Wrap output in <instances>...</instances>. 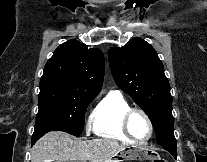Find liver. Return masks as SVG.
I'll return each instance as SVG.
<instances>
[{
    "label": "liver",
    "instance_id": "liver-1",
    "mask_svg": "<svg viewBox=\"0 0 207 162\" xmlns=\"http://www.w3.org/2000/svg\"><path fill=\"white\" fill-rule=\"evenodd\" d=\"M127 147L111 139L77 140L62 131H52L33 146L31 162H111Z\"/></svg>",
    "mask_w": 207,
    "mask_h": 162
}]
</instances>
